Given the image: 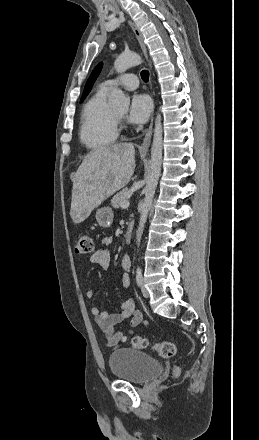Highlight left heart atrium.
Instances as JSON below:
<instances>
[{"mask_svg":"<svg viewBox=\"0 0 259 440\" xmlns=\"http://www.w3.org/2000/svg\"><path fill=\"white\" fill-rule=\"evenodd\" d=\"M152 111V101L146 94H135L132 96L128 120L133 124L145 123Z\"/></svg>","mask_w":259,"mask_h":440,"instance_id":"39dd6f15","label":"left heart atrium"}]
</instances>
